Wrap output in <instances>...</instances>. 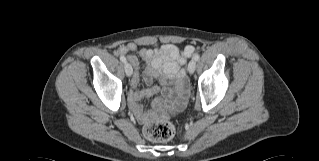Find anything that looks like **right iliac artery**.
I'll use <instances>...</instances> for the list:
<instances>
[{"mask_svg": "<svg viewBox=\"0 0 319 161\" xmlns=\"http://www.w3.org/2000/svg\"><path fill=\"white\" fill-rule=\"evenodd\" d=\"M120 60L125 63L126 62V58L124 56H120Z\"/></svg>", "mask_w": 319, "mask_h": 161, "instance_id": "82829eb1", "label": "right iliac artery"}]
</instances>
